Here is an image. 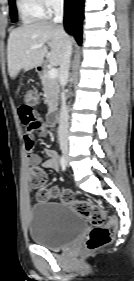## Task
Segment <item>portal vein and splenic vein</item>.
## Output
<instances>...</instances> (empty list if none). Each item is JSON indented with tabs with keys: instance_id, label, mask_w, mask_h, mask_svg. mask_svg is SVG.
<instances>
[{
	"instance_id": "portal-vein-and-splenic-vein-1",
	"label": "portal vein and splenic vein",
	"mask_w": 134,
	"mask_h": 281,
	"mask_svg": "<svg viewBox=\"0 0 134 281\" xmlns=\"http://www.w3.org/2000/svg\"><path fill=\"white\" fill-rule=\"evenodd\" d=\"M43 46H44V44H36V45L32 46L30 49H28L27 52H30L34 49L41 48ZM48 75L50 78H56L58 75V70L56 68H50L48 71Z\"/></svg>"
}]
</instances>
